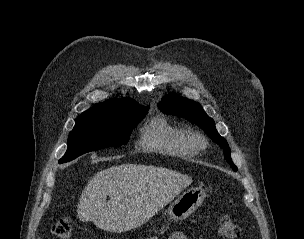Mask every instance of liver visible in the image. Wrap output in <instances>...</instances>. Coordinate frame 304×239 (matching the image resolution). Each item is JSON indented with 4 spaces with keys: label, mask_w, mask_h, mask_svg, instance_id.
<instances>
[{
    "label": "liver",
    "mask_w": 304,
    "mask_h": 239,
    "mask_svg": "<svg viewBox=\"0 0 304 239\" xmlns=\"http://www.w3.org/2000/svg\"><path fill=\"white\" fill-rule=\"evenodd\" d=\"M191 183L192 178L167 168L113 166L88 181L79 199L77 215L81 221H93L105 231H128L151 219Z\"/></svg>",
    "instance_id": "obj_1"
}]
</instances>
